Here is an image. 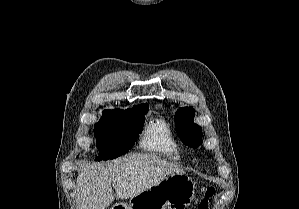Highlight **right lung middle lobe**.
<instances>
[{
    "mask_svg": "<svg viewBox=\"0 0 299 209\" xmlns=\"http://www.w3.org/2000/svg\"><path fill=\"white\" fill-rule=\"evenodd\" d=\"M145 113L102 116L94 128L100 154L96 160L114 159L127 153L143 128Z\"/></svg>",
    "mask_w": 299,
    "mask_h": 209,
    "instance_id": "1",
    "label": "right lung middle lobe"
}]
</instances>
